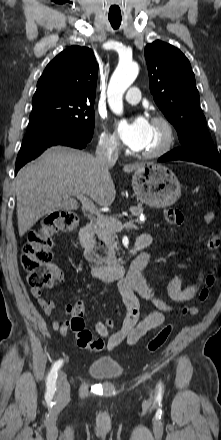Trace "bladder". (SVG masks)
<instances>
[{
    "label": "bladder",
    "mask_w": 221,
    "mask_h": 440,
    "mask_svg": "<svg viewBox=\"0 0 221 440\" xmlns=\"http://www.w3.org/2000/svg\"><path fill=\"white\" fill-rule=\"evenodd\" d=\"M87 371L99 380L112 381L123 374V366L119 361L110 357L94 359L88 366Z\"/></svg>",
    "instance_id": "31cf9c89"
}]
</instances>
